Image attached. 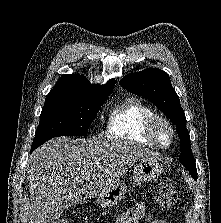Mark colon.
I'll return each mask as SVG.
<instances>
[{
	"mask_svg": "<svg viewBox=\"0 0 221 223\" xmlns=\"http://www.w3.org/2000/svg\"><path fill=\"white\" fill-rule=\"evenodd\" d=\"M178 191L176 187L167 180H164L160 184L158 193V204L163 209H170L174 206ZM56 223H70L69 219L66 217H61Z\"/></svg>",
	"mask_w": 221,
	"mask_h": 223,
	"instance_id": "colon-1",
	"label": "colon"
}]
</instances>
